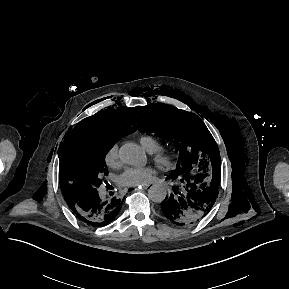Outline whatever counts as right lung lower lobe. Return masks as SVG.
Segmentation results:
<instances>
[{"instance_id": "right-lung-lower-lobe-1", "label": "right lung lower lobe", "mask_w": 289, "mask_h": 289, "mask_svg": "<svg viewBox=\"0 0 289 289\" xmlns=\"http://www.w3.org/2000/svg\"><path fill=\"white\" fill-rule=\"evenodd\" d=\"M124 198H101L98 191L85 196L66 199L67 204L82 222L89 226H105L119 213Z\"/></svg>"}]
</instances>
